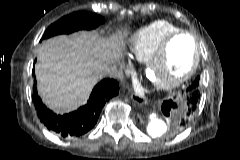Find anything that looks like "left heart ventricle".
Here are the masks:
<instances>
[{
  "instance_id": "b2bd125f",
  "label": "left heart ventricle",
  "mask_w": 240,
  "mask_h": 160,
  "mask_svg": "<svg viewBox=\"0 0 240 160\" xmlns=\"http://www.w3.org/2000/svg\"><path fill=\"white\" fill-rule=\"evenodd\" d=\"M193 57L194 45L191 38L180 36L169 44L162 61L150 71V77L155 81H163L178 76L187 71Z\"/></svg>"
}]
</instances>
